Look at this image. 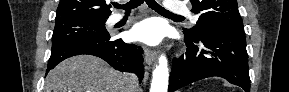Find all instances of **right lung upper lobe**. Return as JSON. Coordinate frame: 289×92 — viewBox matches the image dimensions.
I'll use <instances>...</instances> for the list:
<instances>
[{
  "mask_svg": "<svg viewBox=\"0 0 289 92\" xmlns=\"http://www.w3.org/2000/svg\"><path fill=\"white\" fill-rule=\"evenodd\" d=\"M110 7L105 0H60L55 22L74 19L106 21L111 14Z\"/></svg>",
  "mask_w": 289,
  "mask_h": 92,
  "instance_id": "right-lung-upper-lobe-1",
  "label": "right lung upper lobe"
}]
</instances>
